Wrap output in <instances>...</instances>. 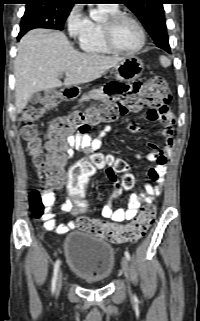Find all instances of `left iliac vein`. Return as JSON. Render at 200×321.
Instances as JSON below:
<instances>
[{
  "instance_id": "1",
  "label": "left iliac vein",
  "mask_w": 200,
  "mask_h": 321,
  "mask_svg": "<svg viewBox=\"0 0 200 321\" xmlns=\"http://www.w3.org/2000/svg\"><path fill=\"white\" fill-rule=\"evenodd\" d=\"M121 265H122V270L124 272V275L128 279L130 275V266L126 257L122 258Z\"/></svg>"
}]
</instances>
